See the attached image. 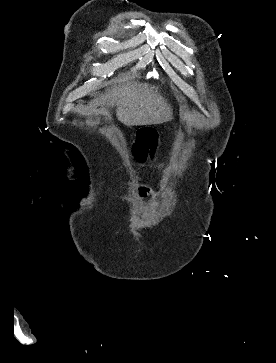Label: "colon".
<instances>
[{
	"label": "colon",
	"instance_id": "colon-1",
	"mask_svg": "<svg viewBox=\"0 0 276 363\" xmlns=\"http://www.w3.org/2000/svg\"><path fill=\"white\" fill-rule=\"evenodd\" d=\"M158 134L150 128H142L138 131L133 146L134 153L139 160L150 156L157 148Z\"/></svg>",
	"mask_w": 276,
	"mask_h": 363
}]
</instances>
